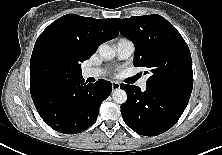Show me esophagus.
<instances>
[{
	"instance_id": "1",
	"label": "esophagus",
	"mask_w": 222,
	"mask_h": 155,
	"mask_svg": "<svg viewBox=\"0 0 222 155\" xmlns=\"http://www.w3.org/2000/svg\"><path fill=\"white\" fill-rule=\"evenodd\" d=\"M120 88V84L118 82H112V89L113 90H118Z\"/></svg>"
}]
</instances>
